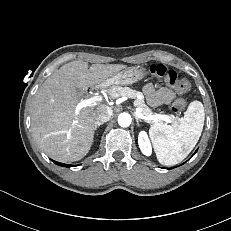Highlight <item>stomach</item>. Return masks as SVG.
<instances>
[{
	"label": "stomach",
	"mask_w": 231,
	"mask_h": 231,
	"mask_svg": "<svg viewBox=\"0 0 231 231\" xmlns=\"http://www.w3.org/2000/svg\"><path fill=\"white\" fill-rule=\"evenodd\" d=\"M145 76V70L141 67L133 66L121 70L108 78L103 87L109 85L127 86L140 81Z\"/></svg>",
	"instance_id": "obj_1"
}]
</instances>
